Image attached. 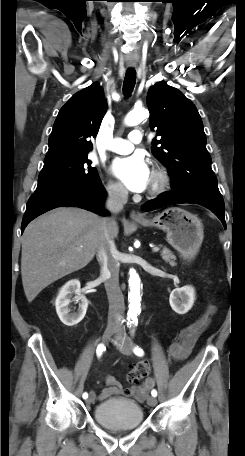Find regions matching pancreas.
Returning <instances> with one entry per match:
<instances>
[{
  "instance_id": "cf45deb5",
  "label": "pancreas",
  "mask_w": 245,
  "mask_h": 456,
  "mask_svg": "<svg viewBox=\"0 0 245 456\" xmlns=\"http://www.w3.org/2000/svg\"><path fill=\"white\" fill-rule=\"evenodd\" d=\"M161 257L164 261L168 262L171 266H176L175 260L176 257L173 253L167 248L163 247L161 251Z\"/></svg>"
}]
</instances>
